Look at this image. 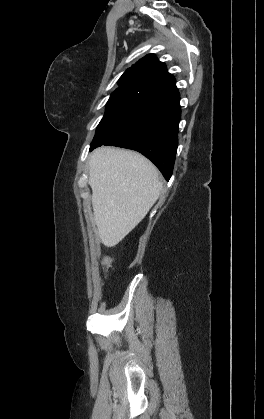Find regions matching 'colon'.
<instances>
[{"label":"colon","instance_id":"obj_1","mask_svg":"<svg viewBox=\"0 0 264 419\" xmlns=\"http://www.w3.org/2000/svg\"><path fill=\"white\" fill-rule=\"evenodd\" d=\"M111 262H112L111 258L107 257L104 261V264L106 267H109L111 265Z\"/></svg>","mask_w":264,"mask_h":419}]
</instances>
